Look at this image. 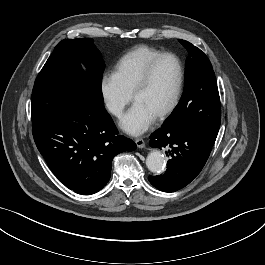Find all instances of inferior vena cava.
Masks as SVG:
<instances>
[{
	"label": "inferior vena cava",
	"instance_id": "obj_1",
	"mask_svg": "<svg viewBox=\"0 0 265 265\" xmlns=\"http://www.w3.org/2000/svg\"><path fill=\"white\" fill-rule=\"evenodd\" d=\"M108 109L114 115H119L122 112V107L115 104H108Z\"/></svg>",
	"mask_w": 265,
	"mask_h": 265
}]
</instances>
